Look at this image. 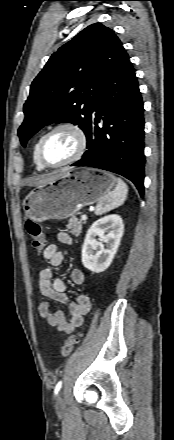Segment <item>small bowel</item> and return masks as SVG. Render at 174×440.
<instances>
[{"label": "small bowel", "mask_w": 174, "mask_h": 440, "mask_svg": "<svg viewBox=\"0 0 174 440\" xmlns=\"http://www.w3.org/2000/svg\"><path fill=\"white\" fill-rule=\"evenodd\" d=\"M57 239L63 245L72 244V238L65 232H60ZM42 256L45 261L55 267L60 266L64 259L63 253L55 244H48L44 248ZM70 278L76 285H81L85 282V275L80 269H73ZM39 288L42 295L47 299L61 304H68L69 319L66 318L61 309H53L49 301L44 300L39 304V313L49 325L69 334L83 324L84 316L91 308V301L87 294L81 293L78 295L76 302H70L65 291L64 281L48 268L41 270L39 273Z\"/></svg>", "instance_id": "c3829d8e"}]
</instances>
